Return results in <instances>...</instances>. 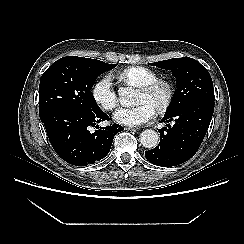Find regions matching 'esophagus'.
<instances>
[{"mask_svg": "<svg viewBox=\"0 0 244 244\" xmlns=\"http://www.w3.org/2000/svg\"><path fill=\"white\" fill-rule=\"evenodd\" d=\"M125 129L129 130V131H132V132H137V131L140 130L139 128H132V127H126Z\"/></svg>", "mask_w": 244, "mask_h": 244, "instance_id": "obj_1", "label": "esophagus"}]
</instances>
